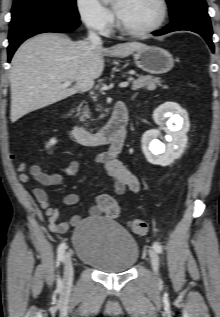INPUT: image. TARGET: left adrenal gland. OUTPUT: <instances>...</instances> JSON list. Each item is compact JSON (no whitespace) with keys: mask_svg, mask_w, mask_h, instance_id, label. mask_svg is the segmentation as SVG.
<instances>
[{"mask_svg":"<svg viewBox=\"0 0 220 317\" xmlns=\"http://www.w3.org/2000/svg\"><path fill=\"white\" fill-rule=\"evenodd\" d=\"M135 96H136V94L132 97V99H134V98H135Z\"/></svg>","mask_w":220,"mask_h":317,"instance_id":"a2214340","label":"left adrenal gland"}]
</instances>
